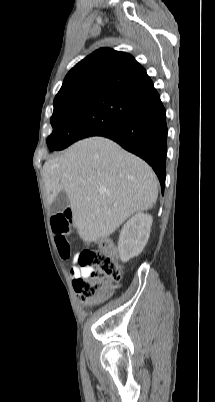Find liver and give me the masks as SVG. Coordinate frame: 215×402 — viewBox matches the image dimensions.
Returning a JSON list of instances; mask_svg holds the SVG:
<instances>
[{
    "label": "liver",
    "mask_w": 215,
    "mask_h": 402,
    "mask_svg": "<svg viewBox=\"0 0 215 402\" xmlns=\"http://www.w3.org/2000/svg\"><path fill=\"white\" fill-rule=\"evenodd\" d=\"M48 204L64 191L80 238L94 242L112 234L132 214L158 197V180L142 159L117 143L91 137L71 145L43 166Z\"/></svg>",
    "instance_id": "obj_1"
}]
</instances>
